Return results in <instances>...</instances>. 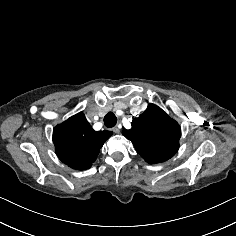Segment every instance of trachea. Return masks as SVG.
<instances>
[{
  "label": "trachea",
  "mask_w": 236,
  "mask_h": 236,
  "mask_svg": "<svg viewBox=\"0 0 236 236\" xmlns=\"http://www.w3.org/2000/svg\"><path fill=\"white\" fill-rule=\"evenodd\" d=\"M117 123V117L115 116L114 113L109 112L105 115L104 117V124L107 128H112L116 125Z\"/></svg>",
  "instance_id": "obj_1"
}]
</instances>
